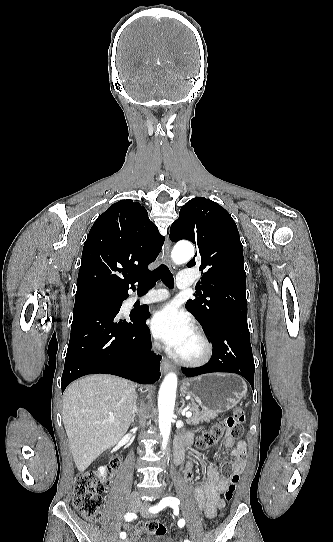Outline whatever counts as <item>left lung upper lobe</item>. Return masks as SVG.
Here are the masks:
<instances>
[{
  "mask_svg": "<svg viewBox=\"0 0 333 542\" xmlns=\"http://www.w3.org/2000/svg\"><path fill=\"white\" fill-rule=\"evenodd\" d=\"M170 239H187L198 248L187 267L206 272L186 308L206 332L211 334L228 317L247 319L243 246L230 214L210 199L195 197L181 208Z\"/></svg>",
  "mask_w": 333,
  "mask_h": 542,
  "instance_id": "left-lung-upper-lobe-1",
  "label": "left lung upper lobe"
}]
</instances>
